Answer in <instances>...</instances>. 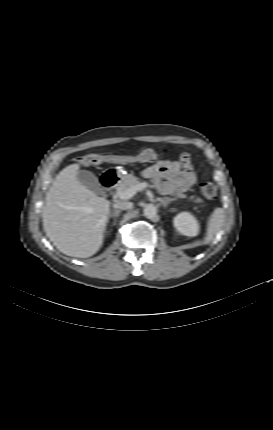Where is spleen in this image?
<instances>
[{
    "label": "spleen",
    "instance_id": "spleen-1",
    "mask_svg": "<svg viewBox=\"0 0 273 430\" xmlns=\"http://www.w3.org/2000/svg\"><path fill=\"white\" fill-rule=\"evenodd\" d=\"M224 224V210L222 208H215L208 222L207 236L205 243H209L214 235H216Z\"/></svg>",
    "mask_w": 273,
    "mask_h": 430
}]
</instances>
